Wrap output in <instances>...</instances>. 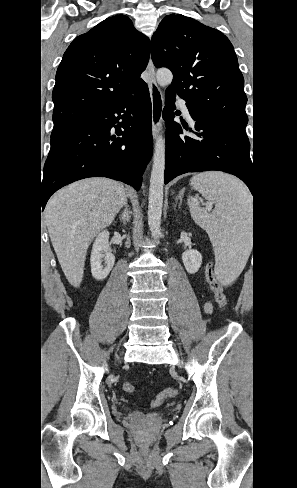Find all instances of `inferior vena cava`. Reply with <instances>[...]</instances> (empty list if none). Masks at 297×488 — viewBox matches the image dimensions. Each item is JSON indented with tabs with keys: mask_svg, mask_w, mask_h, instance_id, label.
<instances>
[{
	"mask_svg": "<svg viewBox=\"0 0 297 488\" xmlns=\"http://www.w3.org/2000/svg\"><path fill=\"white\" fill-rule=\"evenodd\" d=\"M123 217H124L126 220H128V217H129V215H128V211H126V210H125V212L123 213Z\"/></svg>",
	"mask_w": 297,
	"mask_h": 488,
	"instance_id": "602c4592",
	"label": "inferior vena cava"
}]
</instances>
